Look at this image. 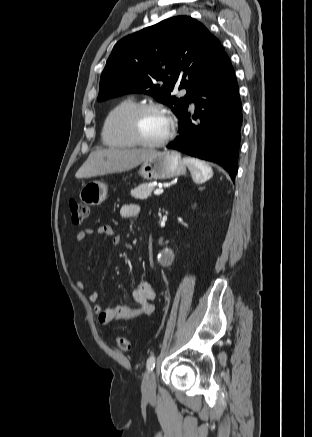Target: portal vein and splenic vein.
Instances as JSON below:
<instances>
[{
  "mask_svg": "<svg viewBox=\"0 0 312 437\" xmlns=\"http://www.w3.org/2000/svg\"><path fill=\"white\" fill-rule=\"evenodd\" d=\"M163 193V189H156L155 191H154V194L155 195H160V194H162Z\"/></svg>",
  "mask_w": 312,
  "mask_h": 437,
  "instance_id": "obj_1",
  "label": "portal vein and splenic vein"
}]
</instances>
